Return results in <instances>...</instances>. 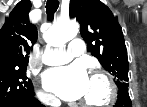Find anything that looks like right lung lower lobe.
I'll return each instance as SVG.
<instances>
[{"label": "right lung lower lobe", "mask_w": 147, "mask_h": 107, "mask_svg": "<svg viewBox=\"0 0 147 107\" xmlns=\"http://www.w3.org/2000/svg\"><path fill=\"white\" fill-rule=\"evenodd\" d=\"M4 107H44L33 95L21 97L6 104Z\"/></svg>", "instance_id": "98d812e1"}]
</instances>
